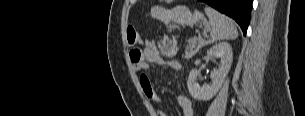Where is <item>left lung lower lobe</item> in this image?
<instances>
[{"label": "left lung lower lobe", "instance_id": "1", "mask_svg": "<svg viewBox=\"0 0 305 116\" xmlns=\"http://www.w3.org/2000/svg\"><path fill=\"white\" fill-rule=\"evenodd\" d=\"M233 18L246 34L253 0H201Z\"/></svg>", "mask_w": 305, "mask_h": 116}]
</instances>
